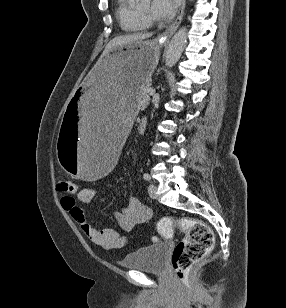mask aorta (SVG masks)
I'll use <instances>...</instances> for the list:
<instances>
[{"instance_id": "aorta-1", "label": "aorta", "mask_w": 286, "mask_h": 308, "mask_svg": "<svg viewBox=\"0 0 286 308\" xmlns=\"http://www.w3.org/2000/svg\"><path fill=\"white\" fill-rule=\"evenodd\" d=\"M186 42L187 29L182 27L175 33L167 47L165 53V63L168 67H173L177 63L181 57Z\"/></svg>"}]
</instances>
